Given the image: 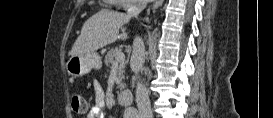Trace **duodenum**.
Wrapping results in <instances>:
<instances>
[{
    "mask_svg": "<svg viewBox=\"0 0 273 118\" xmlns=\"http://www.w3.org/2000/svg\"><path fill=\"white\" fill-rule=\"evenodd\" d=\"M133 94L129 90H121L118 93V101L121 105H131L133 103Z\"/></svg>",
    "mask_w": 273,
    "mask_h": 118,
    "instance_id": "obj_1",
    "label": "duodenum"
}]
</instances>
